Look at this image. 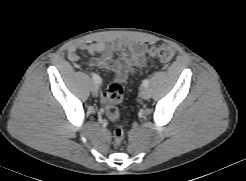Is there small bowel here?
<instances>
[{
	"label": "small bowel",
	"mask_w": 246,
	"mask_h": 181,
	"mask_svg": "<svg viewBox=\"0 0 246 181\" xmlns=\"http://www.w3.org/2000/svg\"><path fill=\"white\" fill-rule=\"evenodd\" d=\"M146 48V45L140 43L121 42L116 45L104 42L76 43L69 47L68 58L79 68L80 52L85 51L92 55L90 60L92 67L112 72L114 81L123 83L126 80L128 68L147 64L143 56Z\"/></svg>",
	"instance_id": "1"
}]
</instances>
